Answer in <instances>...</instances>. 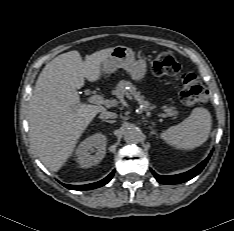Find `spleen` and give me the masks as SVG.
I'll use <instances>...</instances> for the list:
<instances>
[{"mask_svg":"<svg viewBox=\"0 0 234 231\" xmlns=\"http://www.w3.org/2000/svg\"><path fill=\"white\" fill-rule=\"evenodd\" d=\"M211 124L210 112L206 108L196 107L180 124L161 133V138L176 149L192 150L208 139Z\"/></svg>","mask_w":234,"mask_h":231,"instance_id":"spleen-1","label":"spleen"}]
</instances>
